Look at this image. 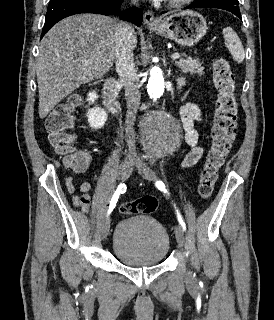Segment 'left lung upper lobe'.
<instances>
[{"label": "left lung upper lobe", "mask_w": 274, "mask_h": 320, "mask_svg": "<svg viewBox=\"0 0 274 320\" xmlns=\"http://www.w3.org/2000/svg\"><path fill=\"white\" fill-rule=\"evenodd\" d=\"M197 1H203V2H208V3H214V4H219L228 8H235L239 9L238 7V0H197Z\"/></svg>", "instance_id": "left-lung-upper-lobe-1"}]
</instances>
